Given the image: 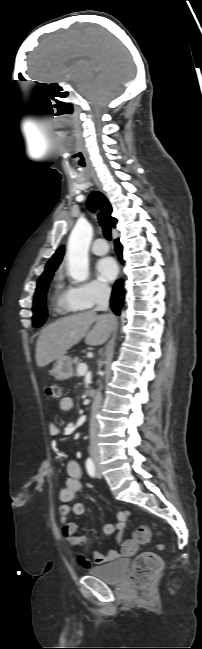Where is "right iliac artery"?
Returning <instances> with one entry per match:
<instances>
[{
    "instance_id": "82829eb1",
    "label": "right iliac artery",
    "mask_w": 202,
    "mask_h": 649,
    "mask_svg": "<svg viewBox=\"0 0 202 649\" xmlns=\"http://www.w3.org/2000/svg\"><path fill=\"white\" fill-rule=\"evenodd\" d=\"M86 469L91 477H95V465L92 459L88 458L86 461Z\"/></svg>"
}]
</instances>
